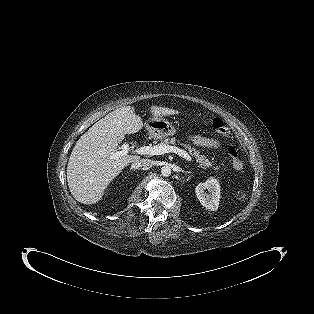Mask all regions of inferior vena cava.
<instances>
[{"mask_svg":"<svg viewBox=\"0 0 314 314\" xmlns=\"http://www.w3.org/2000/svg\"><path fill=\"white\" fill-rule=\"evenodd\" d=\"M153 162L150 159H139L131 163L132 170H136L139 168H150L152 167Z\"/></svg>","mask_w":314,"mask_h":314,"instance_id":"602c4592","label":"inferior vena cava"}]
</instances>
